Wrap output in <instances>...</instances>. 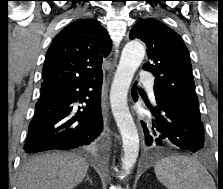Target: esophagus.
Returning a JSON list of instances; mask_svg holds the SVG:
<instances>
[{"mask_svg": "<svg viewBox=\"0 0 223 189\" xmlns=\"http://www.w3.org/2000/svg\"><path fill=\"white\" fill-rule=\"evenodd\" d=\"M116 59H117V55H115V58H114V61H113V68L116 65ZM105 115L108 116L107 111H105Z\"/></svg>", "mask_w": 223, "mask_h": 189, "instance_id": "34e87169", "label": "esophagus"}]
</instances>
